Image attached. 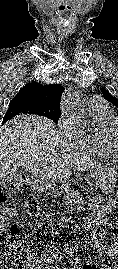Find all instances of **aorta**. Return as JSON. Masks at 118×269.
<instances>
[{
    "instance_id": "aorta-1",
    "label": "aorta",
    "mask_w": 118,
    "mask_h": 269,
    "mask_svg": "<svg viewBox=\"0 0 118 269\" xmlns=\"http://www.w3.org/2000/svg\"><path fill=\"white\" fill-rule=\"evenodd\" d=\"M63 109L79 119H84L86 116V111L81 103V100L76 92L67 91L63 97L62 101Z\"/></svg>"
}]
</instances>
